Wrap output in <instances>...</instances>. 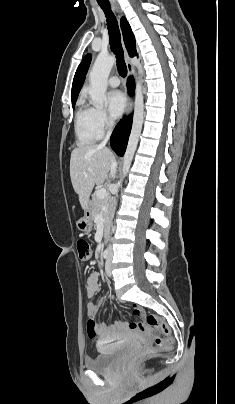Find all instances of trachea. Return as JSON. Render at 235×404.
Wrapping results in <instances>:
<instances>
[{
    "label": "trachea",
    "mask_w": 235,
    "mask_h": 404,
    "mask_svg": "<svg viewBox=\"0 0 235 404\" xmlns=\"http://www.w3.org/2000/svg\"><path fill=\"white\" fill-rule=\"evenodd\" d=\"M100 7L107 18V26L109 31L110 48L117 58V70L121 77L127 75V67L124 62V54L121 45V35L118 27V22L111 11L110 4H100Z\"/></svg>",
    "instance_id": "trachea-1"
}]
</instances>
